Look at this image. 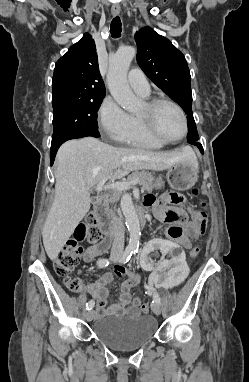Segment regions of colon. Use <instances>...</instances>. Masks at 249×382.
Instances as JSON below:
<instances>
[{
  "instance_id": "5ec220e1",
  "label": "colon",
  "mask_w": 249,
  "mask_h": 382,
  "mask_svg": "<svg viewBox=\"0 0 249 382\" xmlns=\"http://www.w3.org/2000/svg\"><path fill=\"white\" fill-rule=\"evenodd\" d=\"M193 193L197 194V190L194 189ZM193 218L199 231L205 233L208 225V216L204 203H202L200 209L193 211ZM79 241H86L89 244H99L103 241L102 231L98 225L95 214L90 213L84 218V221L79 224L76 229L75 238L68 241L54 259L55 272L60 276H64L66 286L74 293H78L82 289L80 279L71 276L82 254V248L78 245ZM200 250L199 246L193 247L189 252L190 257H196L200 253ZM134 305L141 308L142 311L148 309L147 304L143 302L141 296L135 297Z\"/></svg>"
}]
</instances>
